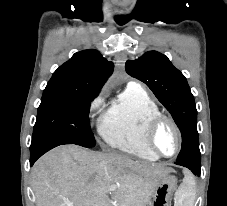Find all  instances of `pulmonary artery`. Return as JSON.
<instances>
[{"label": "pulmonary artery", "mask_w": 227, "mask_h": 206, "mask_svg": "<svg viewBox=\"0 0 227 206\" xmlns=\"http://www.w3.org/2000/svg\"><path fill=\"white\" fill-rule=\"evenodd\" d=\"M128 87L141 88V86L138 83H136V82H130L128 84Z\"/></svg>", "instance_id": "pulmonary-artery-1"}]
</instances>
